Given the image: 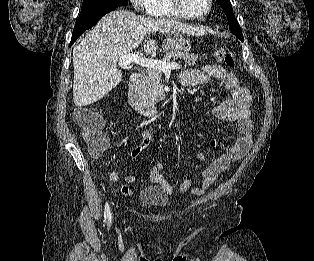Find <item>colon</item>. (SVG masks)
Listing matches in <instances>:
<instances>
[{
  "instance_id": "obj_1",
  "label": "colon",
  "mask_w": 314,
  "mask_h": 261,
  "mask_svg": "<svg viewBox=\"0 0 314 261\" xmlns=\"http://www.w3.org/2000/svg\"><path fill=\"white\" fill-rule=\"evenodd\" d=\"M216 58L230 67L235 66V58L229 48L223 47L215 51ZM74 121L82 130L89 151L94 156H99L108 147V138L101 130L102 117L89 109L78 108L74 111ZM215 145V142H212Z\"/></svg>"
}]
</instances>
